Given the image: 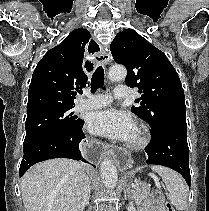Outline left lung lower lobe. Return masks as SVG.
Wrapping results in <instances>:
<instances>
[{"label": "left lung lower lobe", "mask_w": 209, "mask_h": 211, "mask_svg": "<svg viewBox=\"0 0 209 211\" xmlns=\"http://www.w3.org/2000/svg\"><path fill=\"white\" fill-rule=\"evenodd\" d=\"M186 135V122L170 123L152 135V143L146 148V153L148 164L166 166L179 172L190 187L189 148Z\"/></svg>", "instance_id": "0a47b994"}]
</instances>
